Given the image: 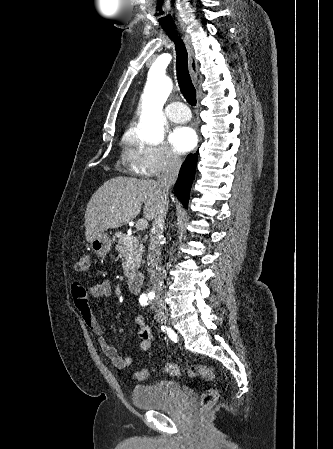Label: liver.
Here are the masks:
<instances>
[{"instance_id": "1", "label": "liver", "mask_w": 333, "mask_h": 449, "mask_svg": "<svg viewBox=\"0 0 333 449\" xmlns=\"http://www.w3.org/2000/svg\"><path fill=\"white\" fill-rule=\"evenodd\" d=\"M161 199V187L153 180L114 177L106 181L87 205L86 240L91 242L101 232L129 223L140 214L142 203L145 204L144 217L153 220Z\"/></svg>"}]
</instances>
